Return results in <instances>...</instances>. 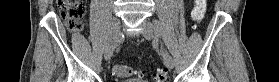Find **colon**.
<instances>
[{
	"mask_svg": "<svg viewBox=\"0 0 279 82\" xmlns=\"http://www.w3.org/2000/svg\"><path fill=\"white\" fill-rule=\"evenodd\" d=\"M207 0H195L194 8L191 11V18L195 22H200L205 14ZM58 7L61 17L66 21L67 27L73 31H80L82 28V18L85 14V5L82 0H58ZM113 74L119 78H131L139 76L134 68L115 64L113 66ZM168 72L165 69H158L155 73V82H165Z\"/></svg>",
	"mask_w": 279,
	"mask_h": 82,
	"instance_id": "obj_1",
	"label": "colon"
}]
</instances>
